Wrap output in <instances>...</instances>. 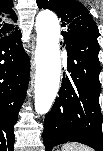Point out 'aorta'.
I'll use <instances>...</instances> for the list:
<instances>
[{
    "label": "aorta",
    "mask_w": 103,
    "mask_h": 151,
    "mask_svg": "<svg viewBox=\"0 0 103 151\" xmlns=\"http://www.w3.org/2000/svg\"><path fill=\"white\" fill-rule=\"evenodd\" d=\"M35 26V110L38 114H46L51 109L59 89L60 25L52 11L44 10L37 15Z\"/></svg>",
    "instance_id": "1"
}]
</instances>
